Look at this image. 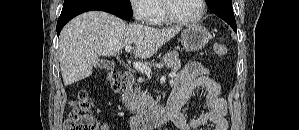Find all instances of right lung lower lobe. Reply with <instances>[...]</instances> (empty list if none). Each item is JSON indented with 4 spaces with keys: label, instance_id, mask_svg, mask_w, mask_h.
I'll return each instance as SVG.
<instances>
[{
    "label": "right lung lower lobe",
    "instance_id": "98d812e1",
    "mask_svg": "<svg viewBox=\"0 0 299 130\" xmlns=\"http://www.w3.org/2000/svg\"><path fill=\"white\" fill-rule=\"evenodd\" d=\"M92 10L105 11L124 20H129L133 13L130 6L117 0H65L61 15L57 21V35L73 17Z\"/></svg>",
    "mask_w": 299,
    "mask_h": 130
}]
</instances>
